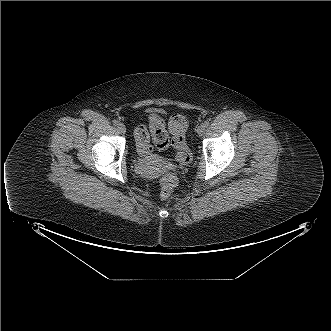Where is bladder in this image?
Masks as SVG:
<instances>
[{"mask_svg": "<svg viewBox=\"0 0 331 331\" xmlns=\"http://www.w3.org/2000/svg\"><path fill=\"white\" fill-rule=\"evenodd\" d=\"M155 160H157V156L152 155V156L147 157V158L144 160V162H151V161H155Z\"/></svg>", "mask_w": 331, "mask_h": 331, "instance_id": "bladder-1", "label": "bladder"}]
</instances>
